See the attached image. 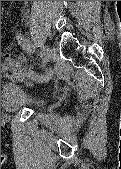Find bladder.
<instances>
[{"label":"bladder","instance_id":"obj_1","mask_svg":"<svg viewBox=\"0 0 121 169\" xmlns=\"http://www.w3.org/2000/svg\"><path fill=\"white\" fill-rule=\"evenodd\" d=\"M1 103L4 110L16 112L22 109H38L43 106V99L23 89L18 84L6 82L2 87Z\"/></svg>","mask_w":121,"mask_h":169}]
</instances>
